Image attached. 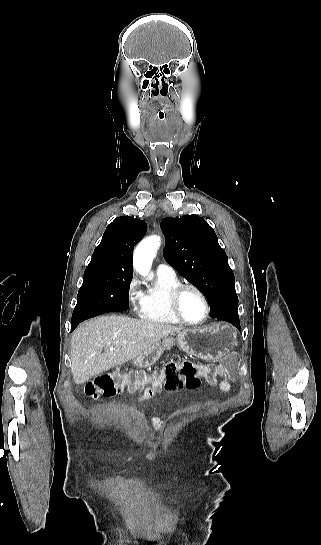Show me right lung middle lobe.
Listing matches in <instances>:
<instances>
[{
	"label": "right lung middle lobe",
	"mask_w": 321,
	"mask_h": 545,
	"mask_svg": "<svg viewBox=\"0 0 321 545\" xmlns=\"http://www.w3.org/2000/svg\"><path fill=\"white\" fill-rule=\"evenodd\" d=\"M131 280L132 274L85 270L72 320L109 312L108 309L114 301L129 295Z\"/></svg>",
	"instance_id": "obj_1"
}]
</instances>
